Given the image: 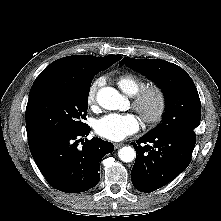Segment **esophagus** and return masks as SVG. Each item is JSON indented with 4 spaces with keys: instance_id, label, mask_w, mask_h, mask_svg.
<instances>
[{
    "instance_id": "34e87169",
    "label": "esophagus",
    "mask_w": 221,
    "mask_h": 221,
    "mask_svg": "<svg viewBox=\"0 0 221 221\" xmlns=\"http://www.w3.org/2000/svg\"><path fill=\"white\" fill-rule=\"evenodd\" d=\"M123 145H124L123 143H114L115 149H119V148L122 147Z\"/></svg>"
}]
</instances>
